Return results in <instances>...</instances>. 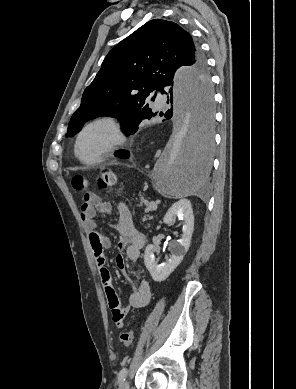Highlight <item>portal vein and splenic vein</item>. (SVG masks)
<instances>
[{
    "mask_svg": "<svg viewBox=\"0 0 296 389\" xmlns=\"http://www.w3.org/2000/svg\"><path fill=\"white\" fill-rule=\"evenodd\" d=\"M157 203H158V201L157 202H151V203H149V207L152 210H156L157 209Z\"/></svg>",
    "mask_w": 296,
    "mask_h": 389,
    "instance_id": "1",
    "label": "portal vein and splenic vein"
}]
</instances>
